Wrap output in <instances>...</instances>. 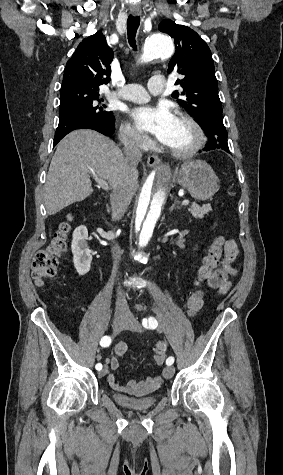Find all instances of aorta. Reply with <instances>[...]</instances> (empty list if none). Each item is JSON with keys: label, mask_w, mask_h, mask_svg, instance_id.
Returning <instances> with one entry per match:
<instances>
[{"label": "aorta", "mask_w": 283, "mask_h": 475, "mask_svg": "<svg viewBox=\"0 0 283 475\" xmlns=\"http://www.w3.org/2000/svg\"><path fill=\"white\" fill-rule=\"evenodd\" d=\"M173 53L172 39L158 33L146 40L140 60L146 63L158 58L166 59ZM172 184L168 165L153 170L143 184L130 225V235L140 249L145 248L153 237Z\"/></svg>", "instance_id": "obj_1"}]
</instances>
